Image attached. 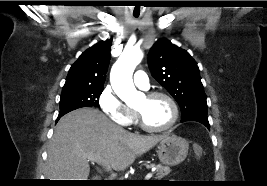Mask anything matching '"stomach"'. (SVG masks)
Returning <instances> with one entry per match:
<instances>
[{
    "label": "stomach",
    "instance_id": "1",
    "mask_svg": "<svg viewBox=\"0 0 267 186\" xmlns=\"http://www.w3.org/2000/svg\"><path fill=\"white\" fill-rule=\"evenodd\" d=\"M188 142L174 134L167 135L157 146V153L161 163L175 166L185 160L188 154Z\"/></svg>",
    "mask_w": 267,
    "mask_h": 186
}]
</instances>
